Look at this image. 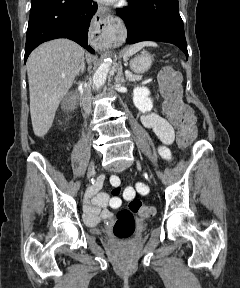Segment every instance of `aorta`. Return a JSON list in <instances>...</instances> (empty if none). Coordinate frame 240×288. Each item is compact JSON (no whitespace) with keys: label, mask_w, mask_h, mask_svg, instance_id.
Masks as SVG:
<instances>
[{"label":"aorta","mask_w":240,"mask_h":288,"mask_svg":"<svg viewBox=\"0 0 240 288\" xmlns=\"http://www.w3.org/2000/svg\"><path fill=\"white\" fill-rule=\"evenodd\" d=\"M111 59L106 58L104 61L99 65L98 69L93 75V85L96 89H99L106 81L107 74L110 70L111 66Z\"/></svg>","instance_id":"aorta-1"}]
</instances>
